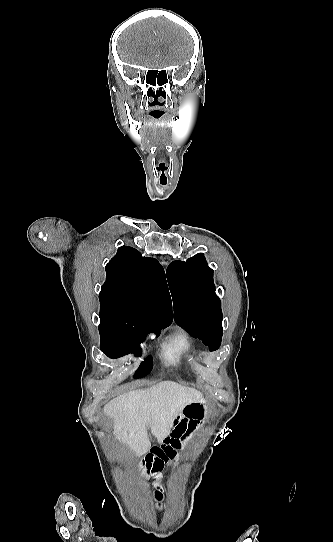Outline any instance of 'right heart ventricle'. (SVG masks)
<instances>
[{"label":"right heart ventricle","mask_w":333,"mask_h":542,"mask_svg":"<svg viewBox=\"0 0 333 542\" xmlns=\"http://www.w3.org/2000/svg\"><path fill=\"white\" fill-rule=\"evenodd\" d=\"M164 350L171 361L178 363L189 350L187 336L182 332L173 334L165 343Z\"/></svg>","instance_id":"1"}]
</instances>
